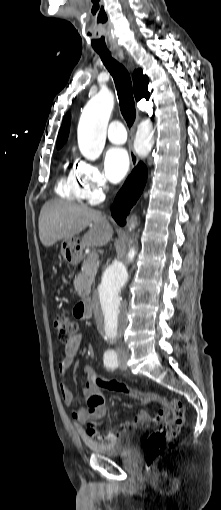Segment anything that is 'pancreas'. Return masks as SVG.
Returning a JSON list of instances; mask_svg holds the SVG:
<instances>
[{"mask_svg": "<svg viewBox=\"0 0 221 510\" xmlns=\"http://www.w3.org/2000/svg\"><path fill=\"white\" fill-rule=\"evenodd\" d=\"M98 261H90L88 257L84 260L81 272L74 279V287L82 298L89 295L91 285L95 280Z\"/></svg>", "mask_w": 221, "mask_h": 510, "instance_id": "obj_1", "label": "pancreas"}]
</instances>
